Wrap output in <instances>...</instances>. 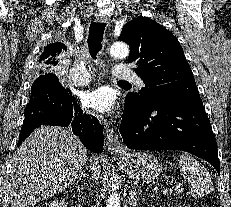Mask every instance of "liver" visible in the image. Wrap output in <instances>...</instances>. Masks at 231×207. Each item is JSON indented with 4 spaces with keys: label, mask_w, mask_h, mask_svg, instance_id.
I'll return each instance as SVG.
<instances>
[{
    "label": "liver",
    "mask_w": 231,
    "mask_h": 207,
    "mask_svg": "<svg viewBox=\"0 0 231 207\" xmlns=\"http://www.w3.org/2000/svg\"><path fill=\"white\" fill-rule=\"evenodd\" d=\"M87 160V149L67 128L35 129L13 157L8 183L11 207H32L63 191L78 178ZM90 166L98 181L101 170L96 157Z\"/></svg>",
    "instance_id": "obj_1"
}]
</instances>
